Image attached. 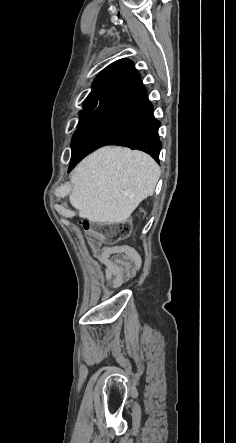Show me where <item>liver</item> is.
I'll list each match as a JSON object with an SVG mask.
<instances>
[{
  "label": "liver",
  "mask_w": 236,
  "mask_h": 443,
  "mask_svg": "<svg viewBox=\"0 0 236 443\" xmlns=\"http://www.w3.org/2000/svg\"><path fill=\"white\" fill-rule=\"evenodd\" d=\"M160 167L148 154L106 146L82 160L71 175V205L91 222L125 223L153 195Z\"/></svg>",
  "instance_id": "liver-1"
}]
</instances>
